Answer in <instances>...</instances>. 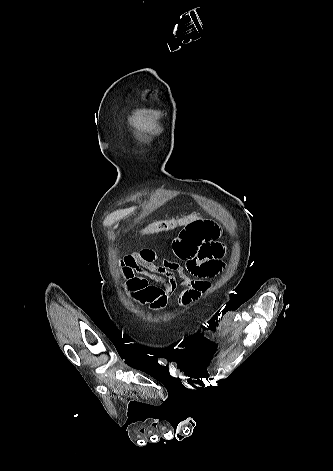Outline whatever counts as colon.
<instances>
[{
	"instance_id": "1",
	"label": "colon",
	"mask_w": 333,
	"mask_h": 471,
	"mask_svg": "<svg viewBox=\"0 0 333 471\" xmlns=\"http://www.w3.org/2000/svg\"><path fill=\"white\" fill-rule=\"evenodd\" d=\"M198 214L192 213L180 218H169L154 221L144 228L141 229V233L144 235H150L162 231H169L177 227H184L185 225L191 223L193 220L198 218Z\"/></svg>"
}]
</instances>
